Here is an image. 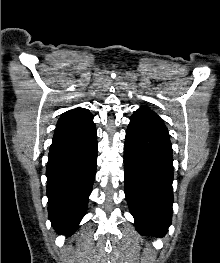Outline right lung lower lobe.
I'll use <instances>...</instances> for the list:
<instances>
[{
    "instance_id": "1",
    "label": "right lung lower lobe",
    "mask_w": 220,
    "mask_h": 263,
    "mask_svg": "<svg viewBox=\"0 0 220 263\" xmlns=\"http://www.w3.org/2000/svg\"><path fill=\"white\" fill-rule=\"evenodd\" d=\"M97 137L55 133L46 169L48 212L59 234L73 233L87 210L96 173Z\"/></svg>"
}]
</instances>
